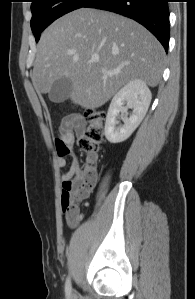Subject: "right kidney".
I'll return each instance as SVG.
<instances>
[{
	"mask_svg": "<svg viewBox=\"0 0 195 299\" xmlns=\"http://www.w3.org/2000/svg\"><path fill=\"white\" fill-rule=\"evenodd\" d=\"M151 91L140 79L128 82L113 97L106 116L104 133L110 143L128 139L146 115L151 102ZM126 103V106L124 104ZM133 109L128 117L127 110ZM121 113L124 125L116 127Z\"/></svg>",
	"mask_w": 195,
	"mask_h": 299,
	"instance_id": "1",
	"label": "right kidney"
}]
</instances>
